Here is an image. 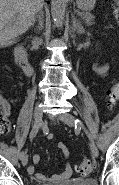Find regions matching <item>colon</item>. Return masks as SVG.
I'll use <instances>...</instances> for the list:
<instances>
[{"mask_svg":"<svg viewBox=\"0 0 119 185\" xmlns=\"http://www.w3.org/2000/svg\"><path fill=\"white\" fill-rule=\"evenodd\" d=\"M114 16L117 20H119V9H114ZM119 99V83H115L109 92V100H108V106L110 109H113ZM10 121L8 119V116L6 115L4 111V107L2 105V102H0V133L1 134H7L10 131ZM77 172L82 175H89L94 171V164L90 160H84L81 162L77 168Z\"/></svg>","mask_w":119,"mask_h":185,"instance_id":"1","label":"colon"}]
</instances>
